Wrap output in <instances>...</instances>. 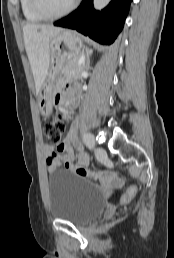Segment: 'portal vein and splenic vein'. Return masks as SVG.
<instances>
[{"label":"portal vein and splenic vein","mask_w":174,"mask_h":258,"mask_svg":"<svg viewBox=\"0 0 174 258\" xmlns=\"http://www.w3.org/2000/svg\"><path fill=\"white\" fill-rule=\"evenodd\" d=\"M84 57L82 56L80 59H79V62H78V65H81V64H83L84 63Z\"/></svg>","instance_id":"obj_1"}]
</instances>
